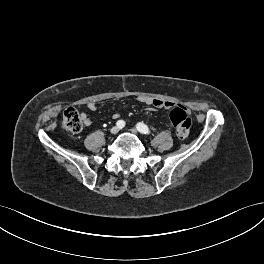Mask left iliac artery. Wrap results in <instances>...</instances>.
<instances>
[{
	"mask_svg": "<svg viewBox=\"0 0 264 264\" xmlns=\"http://www.w3.org/2000/svg\"><path fill=\"white\" fill-rule=\"evenodd\" d=\"M136 128L142 134H150V130H149L148 126L145 125L144 123H141V122L138 123L136 125Z\"/></svg>",
	"mask_w": 264,
	"mask_h": 264,
	"instance_id": "left-iliac-artery-1",
	"label": "left iliac artery"
}]
</instances>
